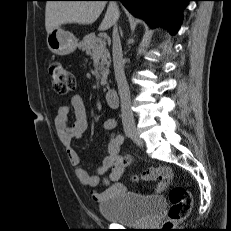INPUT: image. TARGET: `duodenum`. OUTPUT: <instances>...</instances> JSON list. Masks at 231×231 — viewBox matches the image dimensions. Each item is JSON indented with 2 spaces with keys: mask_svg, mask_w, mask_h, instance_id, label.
<instances>
[{
  "mask_svg": "<svg viewBox=\"0 0 231 231\" xmlns=\"http://www.w3.org/2000/svg\"><path fill=\"white\" fill-rule=\"evenodd\" d=\"M105 98H106L108 105L111 108L119 107V104H120L119 95L115 90L113 89L107 90L105 93Z\"/></svg>",
  "mask_w": 231,
  "mask_h": 231,
  "instance_id": "duodenum-1",
  "label": "duodenum"
}]
</instances>
